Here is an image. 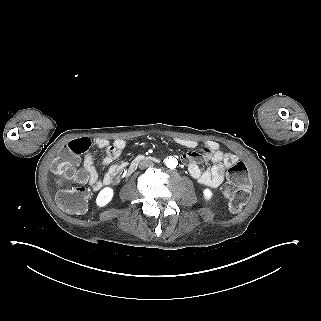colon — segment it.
Listing matches in <instances>:
<instances>
[{
	"mask_svg": "<svg viewBox=\"0 0 321 321\" xmlns=\"http://www.w3.org/2000/svg\"><path fill=\"white\" fill-rule=\"evenodd\" d=\"M91 145L88 138L73 140L59 152L52 164L56 181L62 187L57 195L58 204L70 214L80 215L86 210L88 193L81 186L86 174L79 166V161L83 155L90 152ZM227 178L229 209L232 213H238L250 197V177L245 163L237 161L232 164Z\"/></svg>",
	"mask_w": 321,
	"mask_h": 321,
	"instance_id": "1",
	"label": "colon"
}]
</instances>
